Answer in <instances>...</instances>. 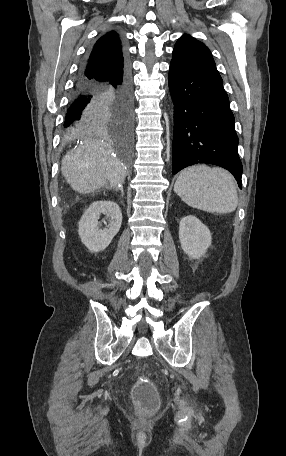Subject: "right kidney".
<instances>
[{
	"label": "right kidney",
	"mask_w": 286,
	"mask_h": 456,
	"mask_svg": "<svg viewBox=\"0 0 286 456\" xmlns=\"http://www.w3.org/2000/svg\"><path fill=\"white\" fill-rule=\"evenodd\" d=\"M105 215L109 225L99 227L100 215ZM122 224V213L117 203L113 201H96L90 205L79 221L78 233L82 243L92 253L103 251L119 232Z\"/></svg>",
	"instance_id": "ca27d5eb"
}]
</instances>
